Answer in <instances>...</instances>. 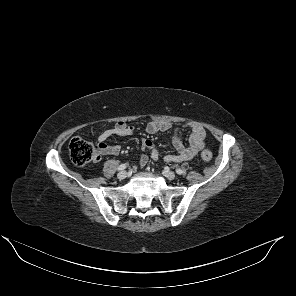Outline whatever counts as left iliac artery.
Instances as JSON below:
<instances>
[{
  "mask_svg": "<svg viewBox=\"0 0 296 296\" xmlns=\"http://www.w3.org/2000/svg\"><path fill=\"white\" fill-rule=\"evenodd\" d=\"M176 173L179 174V175H181V174H183V170L180 169V168H177V169H176Z\"/></svg>",
  "mask_w": 296,
  "mask_h": 296,
  "instance_id": "obj_1",
  "label": "left iliac artery"
}]
</instances>
